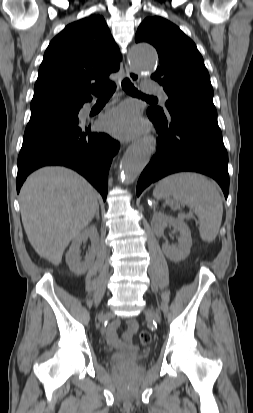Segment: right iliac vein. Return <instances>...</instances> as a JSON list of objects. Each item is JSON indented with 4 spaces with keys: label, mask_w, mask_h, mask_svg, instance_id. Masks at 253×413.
Here are the masks:
<instances>
[{
    "label": "right iliac vein",
    "mask_w": 253,
    "mask_h": 413,
    "mask_svg": "<svg viewBox=\"0 0 253 413\" xmlns=\"http://www.w3.org/2000/svg\"><path fill=\"white\" fill-rule=\"evenodd\" d=\"M100 316H101V317L104 316V313L102 312Z\"/></svg>",
    "instance_id": "obj_1"
}]
</instances>
